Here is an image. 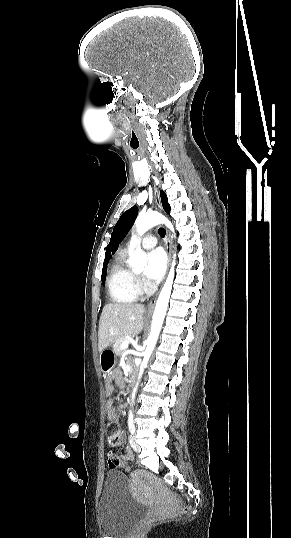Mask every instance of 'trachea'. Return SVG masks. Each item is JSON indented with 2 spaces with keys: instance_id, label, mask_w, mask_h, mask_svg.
<instances>
[{
  "instance_id": "1",
  "label": "trachea",
  "mask_w": 291,
  "mask_h": 538,
  "mask_svg": "<svg viewBox=\"0 0 291 538\" xmlns=\"http://www.w3.org/2000/svg\"><path fill=\"white\" fill-rule=\"evenodd\" d=\"M158 232H159V235H160L161 237H165V235H166V231H165L164 228H159Z\"/></svg>"
}]
</instances>
